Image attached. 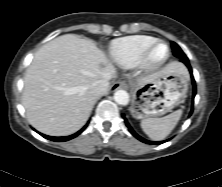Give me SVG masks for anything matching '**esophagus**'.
I'll use <instances>...</instances> for the list:
<instances>
[{
    "instance_id": "1",
    "label": "esophagus",
    "mask_w": 222,
    "mask_h": 187,
    "mask_svg": "<svg viewBox=\"0 0 222 187\" xmlns=\"http://www.w3.org/2000/svg\"><path fill=\"white\" fill-rule=\"evenodd\" d=\"M119 88H127V84L124 81H116L113 85H112V90H117Z\"/></svg>"
}]
</instances>
